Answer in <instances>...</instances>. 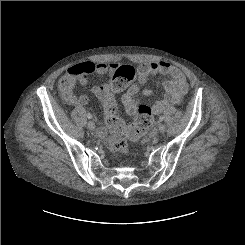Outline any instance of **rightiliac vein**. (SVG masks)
<instances>
[{
    "mask_svg": "<svg viewBox=\"0 0 245 245\" xmlns=\"http://www.w3.org/2000/svg\"><path fill=\"white\" fill-rule=\"evenodd\" d=\"M88 128L91 129V130H94L95 129V124L92 121H89L88 122Z\"/></svg>",
    "mask_w": 245,
    "mask_h": 245,
    "instance_id": "right-iliac-vein-1",
    "label": "right iliac vein"
}]
</instances>
